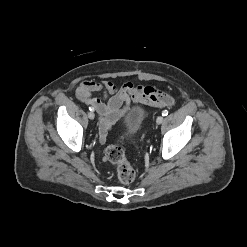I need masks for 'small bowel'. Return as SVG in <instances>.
<instances>
[{
  "label": "small bowel",
  "mask_w": 247,
  "mask_h": 247,
  "mask_svg": "<svg viewBox=\"0 0 247 247\" xmlns=\"http://www.w3.org/2000/svg\"><path fill=\"white\" fill-rule=\"evenodd\" d=\"M102 93V98L95 96ZM77 98L95 109L100 118V138L105 140L111 126L133 104H144L163 108L174 104L173 97L166 91L154 86L134 85L126 82L117 87L110 81L96 82L86 80L80 83L76 90Z\"/></svg>",
  "instance_id": "c3829d8e"
}]
</instances>
